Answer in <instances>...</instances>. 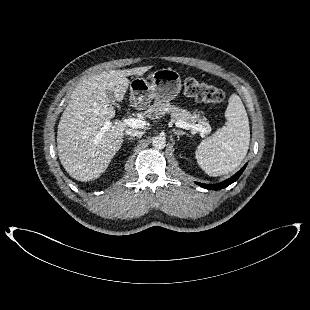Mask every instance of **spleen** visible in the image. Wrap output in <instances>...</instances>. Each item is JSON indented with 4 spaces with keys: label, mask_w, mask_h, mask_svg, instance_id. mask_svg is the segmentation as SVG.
I'll list each match as a JSON object with an SVG mask.
<instances>
[{
    "label": "spleen",
    "mask_w": 310,
    "mask_h": 310,
    "mask_svg": "<svg viewBox=\"0 0 310 310\" xmlns=\"http://www.w3.org/2000/svg\"><path fill=\"white\" fill-rule=\"evenodd\" d=\"M226 124L195 151L198 165L210 176L234 171L245 158L250 144V127L245 107L237 94L229 97Z\"/></svg>",
    "instance_id": "spleen-1"
}]
</instances>
